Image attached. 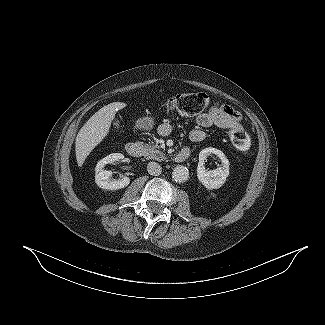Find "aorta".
Instances as JSON below:
<instances>
[{
    "instance_id": "aorta-1",
    "label": "aorta",
    "mask_w": 325,
    "mask_h": 325,
    "mask_svg": "<svg viewBox=\"0 0 325 325\" xmlns=\"http://www.w3.org/2000/svg\"><path fill=\"white\" fill-rule=\"evenodd\" d=\"M189 177L188 169L182 165L176 166L172 171L174 181L181 183L185 182Z\"/></svg>"
}]
</instances>
